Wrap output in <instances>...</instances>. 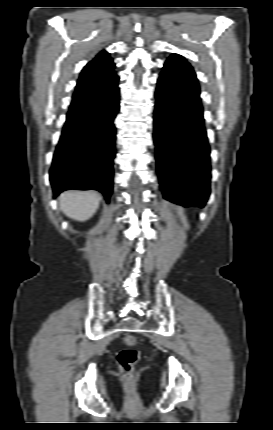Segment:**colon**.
<instances>
[{
    "instance_id": "obj_1",
    "label": "colon",
    "mask_w": 273,
    "mask_h": 430,
    "mask_svg": "<svg viewBox=\"0 0 273 430\" xmlns=\"http://www.w3.org/2000/svg\"><path fill=\"white\" fill-rule=\"evenodd\" d=\"M125 348L122 349L117 356V363L122 374V377L127 382H132L134 379L135 365L140 358V352L136 348L138 338L132 334H126L123 337Z\"/></svg>"
}]
</instances>
